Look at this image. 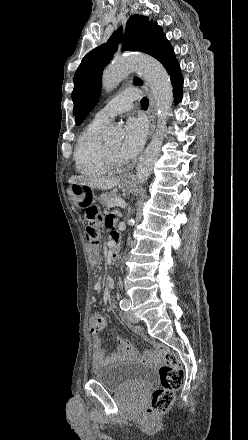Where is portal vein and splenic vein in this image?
Masks as SVG:
<instances>
[{
	"instance_id": "portal-vein-and-splenic-vein-1",
	"label": "portal vein and splenic vein",
	"mask_w": 248,
	"mask_h": 440,
	"mask_svg": "<svg viewBox=\"0 0 248 440\" xmlns=\"http://www.w3.org/2000/svg\"><path fill=\"white\" fill-rule=\"evenodd\" d=\"M115 206L124 208L126 206V203L124 200H122L120 198H114L110 201L109 207H115Z\"/></svg>"
}]
</instances>
